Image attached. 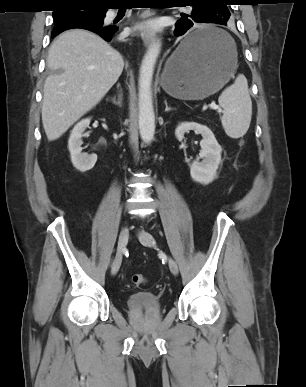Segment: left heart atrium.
Returning a JSON list of instances; mask_svg holds the SVG:
<instances>
[{
	"mask_svg": "<svg viewBox=\"0 0 306 387\" xmlns=\"http://www.w3.org/2000/svg\"><path fill=\"white\" fill-rule=\"evenodd\" d=\"M157 25L156 22H147L146 26L155 27Z\"/></svg>",
	"mask_w": 306,
	"mask_h": 387,
	"instance_id": "left-heart-atrium-1",
	"label": "left heart atrium"
}]
</instances>
